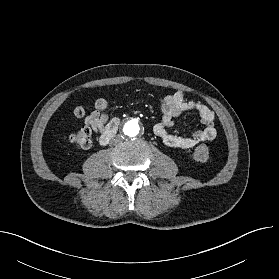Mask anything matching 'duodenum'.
<instances>
[{
    "instance_id": "duodenum-1",
    "label": "duodenum",
    "mask_w": 279,
    "mask_h": 279,
    "mask_svg": "<svg viewBox=\"0 0 279 279\" xmlns=\"http://www.w3.org/2000/svg\"><path fill=\"white\" fill-rule=\"evenodd\" d=\"M119 124H120V121L117 118L113 119L109 123L105 132L100 137V144L106 145L110 141V139L116 134Z\"/></svg>"
}]
</instances>
